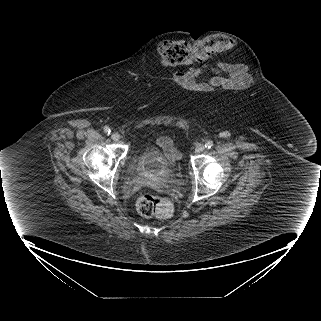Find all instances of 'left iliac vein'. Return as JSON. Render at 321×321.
<instances>
[{
    "label": "left iliac vein",
    "mask_w": 321,
    "mask_h": 321,
    "mask_svg": "<svg viewBox=\"0 0 321 321\" xmlns=\"http://www.w3.org/2000/svg\"><path fill=\"white\" fill-rule=\"evenodd\" d=\"M204 150V145L202 143H199L195 147V152L196 153H201Z\"/></svg>",
    "instance_id": "4c4485c4"
}]
</instances>
